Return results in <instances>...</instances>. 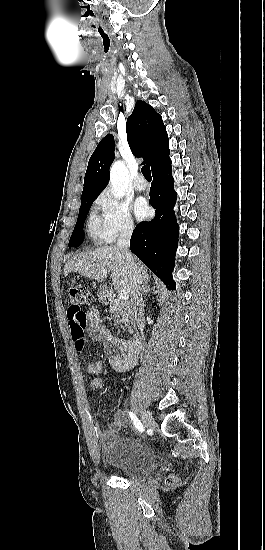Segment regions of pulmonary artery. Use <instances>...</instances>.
I'll list each match as a JSON object with an SVG mask.
<instances>
[{
    "instance_id": "e3ab8cb5",
    "label": "pulmonary artery",
    "mask_w": 265,
    "mask_h": 550,
    "mask_svg": "<svg viewBox=\"0 0 265 550\" xmlns=\"http://www.w3.org/2000/svg\"><path fill=\"white\" fill-rule=\"evenodd\" d=\"M134 186L137 191H144L147 188V182L140 176V179L136 180Z\"/></svg>"
}]
</instances>
